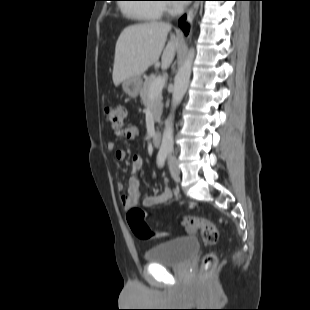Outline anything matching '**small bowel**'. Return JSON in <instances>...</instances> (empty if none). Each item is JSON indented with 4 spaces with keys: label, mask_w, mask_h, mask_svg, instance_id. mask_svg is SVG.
<instances>
[{
    "label": "small bowel",
    "mask_w": 310,
    "mask_h": 310,
    "mask_svg": "<svg viewBox=\"0 0 310 310\" xmlns=\"http://www.w3.org/2000/svg\"><path fill=\"white\" fill-rule=\"evenodd\" d=\"M118 136L124 137L129 141H134L139 135V129L136 126H127L119 130H115ZM106 150L109 153L114 154L115 158L119 161L125 158V151L113 142H109L106 145ZM144 164V158L140 154H135L131 158V177L128 180L126 192L121 195V204L128 210L135 206L141 197L139 191V179L137 172L142 168ZM125 185L123 182H118L116 188L119 191L124 189ZM172 199V191L165 189L157 194H147L142 197V204L144 207L150 208L156 205H162L168 203Z\"/></svg>",
    "instance_id": "c3829d8e"
}]
</instances>
